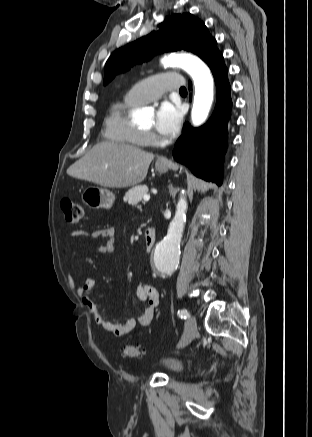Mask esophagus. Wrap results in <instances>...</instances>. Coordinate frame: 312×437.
<instances>
[{"mask_svg":"<svg viewBox=\"0 0 312 437\" xmlns=\"http://www.w3.org/2000/svg\"><path fill=\"white\" fill-rule=\"evenodd\" d=\"M158 162H159V163H167L168 160L165 159V158H160V159L158 160Z\"/></svg>","mask_w":312,"mask_h":437,"instance_id":"obj_1","label":"esophagus"}]
</instances>
